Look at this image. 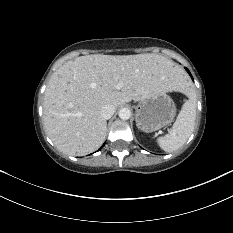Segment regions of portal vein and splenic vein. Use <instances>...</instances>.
I'll return each instance as SVG.
<instances>
[{
    "label": "portal vein and splenic vein",
    "instance_id": "18ae733b",
    "mask_svg": "<svg viewBox=\"0 0 233 233\" xmlns=\"http://www.w3.org/2000/svg\"><path fill=\"white\" fill-rule=\"evenodd\" d=\"M121 87V85H118L117 88L119 89Z\"/></svg>",
    "mask_w": 233,
    "mask_h": 233
}]
</instances>
